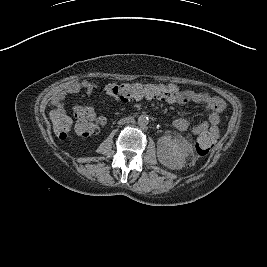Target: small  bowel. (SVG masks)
<instances>
[{
  "label": "small bowel",
  "mask_w": 267,
  "mask_h": 267,
  "mask_svg": "<svg viewBox=\"0 0 267 267\" xmlns=\"http://www.w3.org/2000/svg\"><path fill=\"white\" fill-rule=\"evenodd\" d=\"M96 89V85L93 82L83 80L81 82H75L70 84L66 89L64 94H76L83 93L87 96H91ZM177 104L184 103H197L204 105L205 109L208 111V118L206 121L201 122L197 125H192L190 118L182 117L177 118L173 121V126L180 131H185L191 129L196 135L201 133H208L213 136L214 140L219 137V125L221 123V113L224 111L226 105L225 102L216 96H211L205 92L197 90H179V96L177 100L173 101ZM62 98L59 96L54 101V106L56 109H61ZM80 110L85 118V126L81 124L76 125V130L79 134L84 135V133L89 132V135L97 134L101 127L105 124V118L98 117L94 108L91 106H80L74 105L72 107L73 113ZM56 110L52 112L51 116L56 114Z\"/></svg>",
  "instance_id": "obj_1"
}]
</instances>
